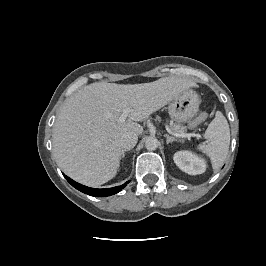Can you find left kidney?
<instances>
[{
	"label": "left kidney",
	"instance_id": "5707ae66",
	"mask_svg": "<svg viewBox=\"0 0 266 266\" xmlns=\"http://www.w3.org/2000/svg\"><path fill=\"white\" fill-rule=\"evenodd\" d=\"M173 160L182 171L190 175L202 174L206 170L205 160L189 151L176 152Z\"/></svg>",
	"mask_w": 266,
	"mask_h": 266
}]
</instances>
